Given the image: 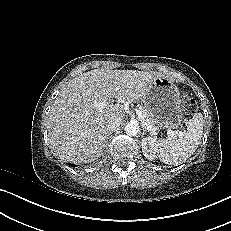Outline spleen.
Wrapping results in <instances>:
<instances>
[{
	"mask_svg": "<svg viewBox=\"0 0 231 231\" xmlns=\"http://www.w3.org/2000/svg\"><path fill=\"white\" fill-rule=\"evenodd\" d=\"M202 134L203 116L201 113H195L186 130L158 141L157 153L160 161L170 165L185 161L198 148Z\"/></svg>",
	"mask_w": 231,
	"mask_h": 231,
	"instance_id": "spleen-1",
	"label": "spleen"
}]
</instances>
